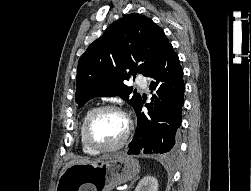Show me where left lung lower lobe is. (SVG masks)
Returning a JSON list of instances; mask_svg holds the SVG:
<instances>
[{
	"label": "left lung lower lobe",
	"mask_w": 251,
	"mask_h": 191,
	"mask_svg": "<svg viewBox=\"0 0 251 191\" xmlns=\"http://www.w3.org/2000/svg\"><path fill=\"white\" fill-rule=\"evenodd\" d=\"M151 78L155 81L151 82L150 90H155L158 95L155 99V109L153 111L146 105L151 116V121H148L141 112L143 100L136 108L137 129L129 144L128 154L170 156L176 151V135L182 121L185 91L183 70L173 48L166 52Z\"/></svg>",
	"instance_id": "0a47b994"
}]
</instances>
